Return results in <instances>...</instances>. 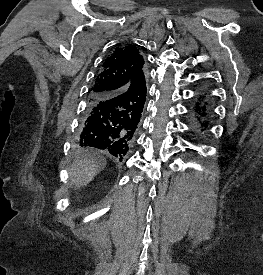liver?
Here are the masks:
<instances>
[{
  "label": "liver",
  "mask_w": 263,
  "mask_h": 275,
  "mask_svg": "<svg viewBox=\"0 0 263 275\" xmlns=\"http://www.w3.org/2000/svg\"><path fill=\"white\" fill-rule=\"evenodd\" d=\"M104 167V163L98 164L88 158L76 161L70 169L71 184L75 185L76 188L86 186Z\"/></svg>",
  "instance_id": "obj_1"
}]
</instances>
